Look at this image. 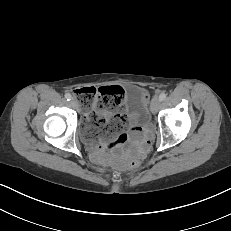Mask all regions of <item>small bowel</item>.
Here are the masks:
<instances>
[{
  "mask_svg": "<svg viewBox=\"0 0 231 231\" xmlns=\"http://www.w3.org/2000/svg\"><path fill=\"white\" fill-rule=\"evenodd\" d=\"M97 112L100 114H106L107 113V111H104V110H97ZM134 133H135L136 140L141 141L143 138V133H142L141 129L134 128ZM116 145H117L116 143L111 142V141L109 143H106V144L102 143L96 148V154L101 155L104 152V149L106 146H109L110 148H114V147H116Z\"/></svg>",
  "mask_w": 231,
  "mask_h": 231,
  "instance_id": "1",
  "label": "small bowel"
}]
</instances>
